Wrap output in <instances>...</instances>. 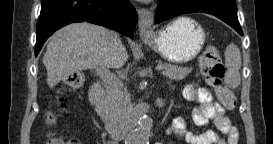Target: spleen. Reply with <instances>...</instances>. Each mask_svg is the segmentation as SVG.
<instances>
[{
  "label": "spleen",
  "instance_id": "obj_1",
  "mask_svg": "<svg viewBox=\"0 0 273 144\" xmlns=\"http://www.w3.org/2000/svg\"><path fill=\"white\" fill-rule=\"evenodd\" d=\"M224 56L225 66L227 67L224 82L229 88L235 89L240 85L239 73V69L241 67L240 50L235 44L232 43L226 47Z\"/></svg>",
  "mask_w": 273,
  "mask_h": 144
}]
</instances>
